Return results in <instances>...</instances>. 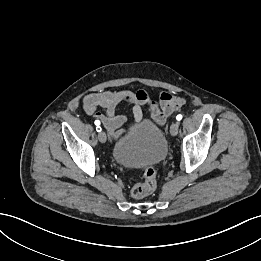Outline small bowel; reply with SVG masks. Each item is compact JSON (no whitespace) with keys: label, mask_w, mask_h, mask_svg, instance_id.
Wrapping results in <instances>:
<instances>
[{"label":"small bowel","mask_w":261,"mask_h":261,"mask_svg":"<svg viewBox=\"0 0 261 261\" xmlns=\"http://www.w3.org/2000/svg\"><path fill=\"white\" fill-rule=\"evenodd\" d=\"M184 99L169 92H161L158 101H153L144 90L132 92L129 90L104 91L87 95L83 99V110L99 120L107 131L116 136L119 128L125 123L126 116L117 113L122 104L131 106L134 121L139 123L146 108L158 125H163L167 118L184 105Z\"/></svg>","instance_id":"small-bowel-1"}]
</instances>
